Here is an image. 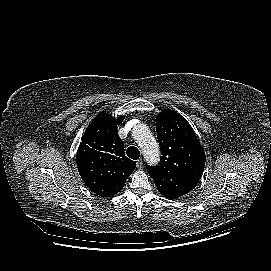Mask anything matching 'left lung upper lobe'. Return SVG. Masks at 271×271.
Returning a JSON list of instances; mask_svg holds the SVG:
<instances>
[{"mask_svg": "<svg viewBox=\"0 0 271 271\" xmlns=\"http://www.w3.org/2000/svg\"><path fill=\"white\" fill-rule=\"evenodd\" d=\"M156 131L162 156L159 164L147 166V171L159 192L170 197L177 178L197 185L205 153L186 119L174 110H163L156 118Z\"/></svg>", "mask_w": 271, "mask_h": 271, "instance_id": "5c2ea615", "label": "left lung upper lobe"}]
</instances>
